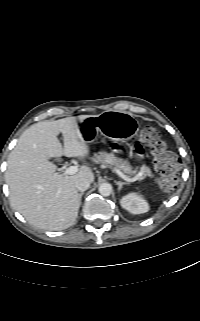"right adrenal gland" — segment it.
Returning <instances> with one entry per match:
<instances>
[{
	"mask_svg": "<svg viewBox=\"0 0 200 321\" xmlns=\"http://www.w3.org/2000/svg\"><path fill=\"white\" fill-rule=\"evenodd\" d=\"M83 194H84V192L79 193L80 204H81V199H82Z\"/></svg>",
	"mask_w": 200,
	"mask_h": 321,
	"instance_id": "right-adrenal-gland-1",
	"label": "right adrenal gland"
}]
</instances>
